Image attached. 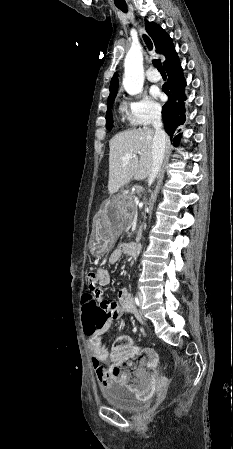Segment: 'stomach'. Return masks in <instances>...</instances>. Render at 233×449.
<instances>
[{
  "label": "stomach",
  "instance_id": "stomach-1",
  "mask_svg": "<svg viewBox=\"0 0 233 449\" xmlns=\"http://www.w3.org/2000/svg\"><path fill=\"white\" fill-rule=\"evenodd\" d=\"M120 201L121 196L114 197L112 201H101L99 206L104 211L94 213L97 239L92 243L91 253L95 256L109 252L113 246L110 232L113 231V227L117 226V219L120 215L118 211Z\"/></svg>",
  "mask_w": 233,
  "mask_h": 449
}]
</instances>
